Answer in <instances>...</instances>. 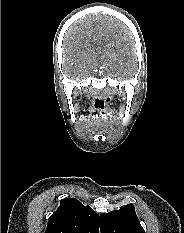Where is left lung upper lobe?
<instances>
[{"instance_id":"1","label":"left lung upper lobe","mask_w":184,"mask_h":233,"mask_svg":"<svg viewBox=\"0 0 184 233\" xmlns=\"http://www.w3.org/2000/svg\"><path fill=\"white\" fill-rule=\"evenodd\" d=\"M101 233H145L133 204L100 215Z\"/></svg>"}]
</instances>
